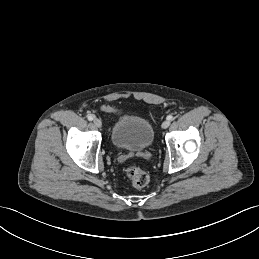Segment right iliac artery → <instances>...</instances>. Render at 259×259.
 Segmentation results:
<instances>
[{"instance_id":"82829eb1","label":"right iliac artery","mask_w":259,"mask_h":259,"mask_svg":"<svg viewBox=\"0 0 259 259\" xmlns=\"http://www.w3.org/2000/svg\"><path fill=\"white\" fill-rule=\"evenodd\" d=\"M94 118H95V117H94L93 115H88V116H87V119H88L89 121H92Z\"/></svg>"}]
</instances>
